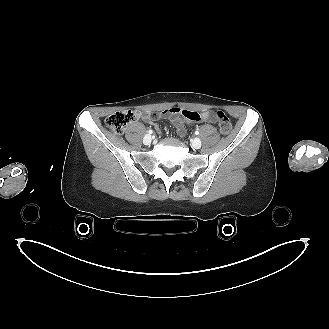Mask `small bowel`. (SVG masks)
<instances>
[{"mask_svg": "<svg viewBox=\"0 0 329 329\" xmlns=\"http://www.w3.org/2000/svg\"><path fill=\"white\" fill-rule=\"evenodd\" d=\"M137 117L145 122H151L152 118L149 113L137 112ZM161 117L168 119L177 129L180 135H184L186 127L193 123H214V116L211 111L201 113L192 112L186 109L173 107L161 113Z\"/></svg>", "mask_w": 329, "mask_h": 329, "instance_id": "c3829d8e", "label": "small bowel"}]
</instances>
